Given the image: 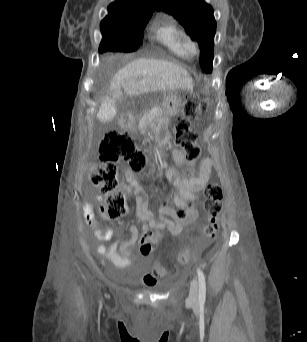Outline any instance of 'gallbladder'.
I'll use <instances>...</instances> for the list:
<instances>
[{"mask_svg":"<svg viewBox=\"0 0 307 342\" xmlns=\"http://www.w3.org/2000/svg\"><path fill=\"white\" fill-rule=\"evenodd\" d=\"M106 103H100L99 111H98V118H101L103 123H107L109 118H112L115 110L117 109V104L115 102H120L122 97L120 95H108L106 97Z\"/></svg>","mask_w":307,"mask_h":342,"instance_id":"gallbladder-1","label":"gallbladder"}]
</instances>
